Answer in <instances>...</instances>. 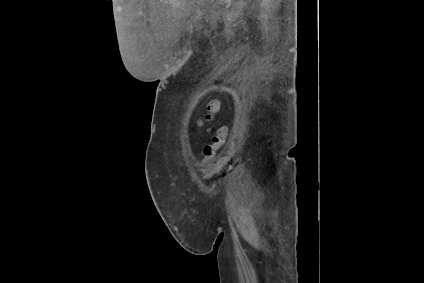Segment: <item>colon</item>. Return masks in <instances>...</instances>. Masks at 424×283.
<instances>
[{"mask_svg": "<svg viewBox=\"0 0 424 283\" xmlns=\"http://www.w3.org/2000/svg\"><path fill=\"white\" fill-rule=\"evenodd\" d=\"M220 111V102L213 99L206 105L204 115L198 120V124L201 125L203 120L210 122L215 119ZM211 141L203 148V163L209 162L215 156L216 152L225 143L227 137V129L225 127H218L210 129Z\"/></svg>", "mask_w": 424, "mask_h": 283, "instance_id": "colon-1", "label": "colon"}]
</instances>
